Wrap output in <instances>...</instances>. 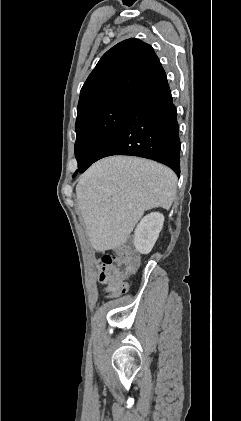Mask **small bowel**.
Here are the masks:
<instances>
[{
    "mask_svg": "<svg viewBox=\"0 0 241 421\" xmlns=\"http://www.w3.org/2000/svg\"><path fill=\"white\" fill-rule=\"evenodd\" d=\"M106 290H107V298L111 299V298H116L118 296H120L122 293H124L125 291L122 288L119 287H115V286H111L109 284L106 283ZM127 288V286H126Z\"/></svg>",
    "mask_w": 241,
    "mask_h": 421,
    "instance_id": "obj_1",
    "label": "small bowel"
}]
</instances>
